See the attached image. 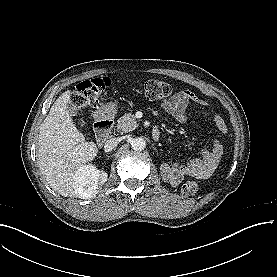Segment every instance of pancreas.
<instances>
[{
    "label": "pancreas",
    "mask_w": 277,
    "mask_h": 277,
    "mask_svg": "<svg viewBox=\"0 0 277 277\" xmlns=\"http://www.w3.org/2000/svg\"><path fill=\"white\" fill-rule=\"evenodd\" d=\"M117 130L119 132H130L138 127L135 116L132 113H126L117 121Z\"/></svg>",
    "instance_id": "cf45deb5"
}]
</instances>
